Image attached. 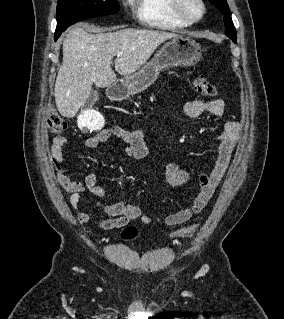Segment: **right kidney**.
Instances as JSON below:
<instances>
[{
  "label": "right kidney",
  "instance_id": "ca27d5eb",
  "mask_svg": "<svg viewBox=\"0 0 284 319\" xmlns=\"http://www.w3.org/2000/svg\"><path fill=\"white\" fill-rule=\"evenodd\" d=\"M77 123L81 130H100L105 121L98 111L87 109L78 116Z\"/></svg>",
  "mask_w": 284,
  "mask_h": 319
}]
</instances>
